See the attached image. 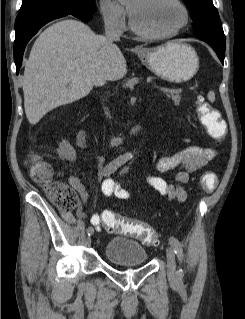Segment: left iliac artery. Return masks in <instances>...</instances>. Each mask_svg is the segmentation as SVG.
<instances>
[{"label":"left iliac artery","instance_id":"44dca946","mask_svg":"<svg viewBox=\"0 0 245 319\" xmlns=\"http://www.w3.org/2000/svg\"><path fill=\"white\" fill-rule=\"evenodd\" d=\"M128 169H129V167H125V168L121 171V173L124 174L125 172L128 171ZM169 242H170L172 248L174 249L175 254L178 256V258H179L180 261L182 262V260H183V249H182L181 243L179 242V240H178L177 238H175V237H173V236L170 237ZM182 277H183V271H182V269H179V271H178V278H179V279H182Z\"/></svg>","mask_w":245,"mask_h":319}]
</instances>
